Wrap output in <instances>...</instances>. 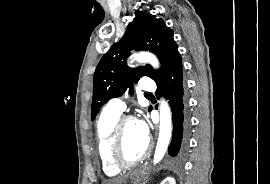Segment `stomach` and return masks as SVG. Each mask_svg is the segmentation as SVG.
Here are the masks:
<instances>
[{
  "instance_id": "1",
  "label": "stomach",
  "mask_w": 270,
  "mask_h": 184,
  "mask_svg": "<svg viewBox=\"0 0 270 184\" xmlns=\"http://www.w3.org/2000/svg\"><path fill=\"white\" fill-rule=\"evenodd\" d=\"M143 177V171H137L133 174V181L134 184H138L139 180Z\"/></svg>"
}]
</instances>
